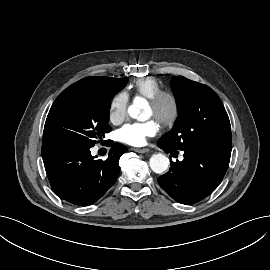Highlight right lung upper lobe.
<instances>
[{"label": "right lung upper lobe", "mask_w": 270, "mask_h": 270, "mask_svg": "<svg viewBox=\"0 0 270 270\" xmlns=\"http://www.w3.org/2000/svg\"><path fill=\"white\" fill-rule=\"evenodd\" d=\"M117 79L118 78L103 77V76L87 77L70 85L64 91H71V90L83 89V88H88V87H104V86L111 85Z\"/></svg>", "instance_id": "obj_1"}]
</instances>
